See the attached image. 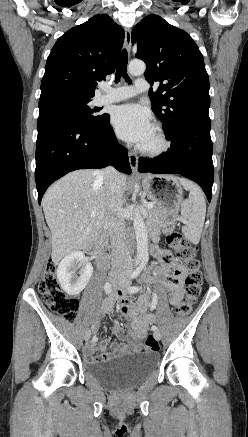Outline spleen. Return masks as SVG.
I'll return each instance as SVG.
<instances>
[{"mask_svg": "<svg viewBox=\"0 0 248 437\" xmlns=\"http://www.w3.org/2000/svg\"><path fill=\"white\" fill-rule=\"evenodd\" d=\"M180 184L189 191V197L181 204L182 232L194 244H198L206 215V203L201 189L185 178H179Z\"/></svg>", "mask_w": 248, "mask_h": 437, "instance_id": "3e777b00", "label": "spleen"}]
</instances>
